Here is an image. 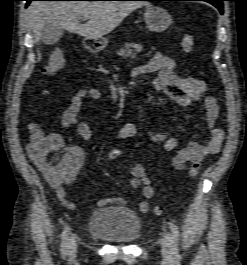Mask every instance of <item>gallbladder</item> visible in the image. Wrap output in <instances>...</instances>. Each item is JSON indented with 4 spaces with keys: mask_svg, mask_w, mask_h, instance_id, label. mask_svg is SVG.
Listing matches in <instances>:
<instances>
[{
    "mask_svg": "<svg viewBox=\"0 0 247 265\" xmlns=\"http://www.w3.org/2000/svg\"><path fill=\"white\" fill-rule=\"evenodd\" d=\"M64 34V28L59 25L47 24L43 27L40 40L46 45L57 43Z\"/></svg>",
    "mask_w": 247,
    "mask_h": 265,
    "instance_id": "obj_1",
    "label": "gallbladder"
}]
</instances>
